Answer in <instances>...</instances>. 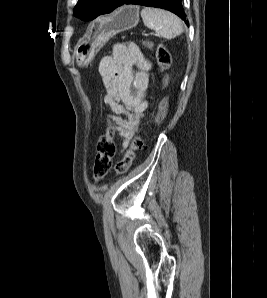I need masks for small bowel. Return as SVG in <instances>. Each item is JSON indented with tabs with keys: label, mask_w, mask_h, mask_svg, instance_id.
<instances>
[{
	"label": "small bowel",
	"mask_w": 267,
	"mask_h": 298,
	"mask_svg": "<svg viewBox=\"0 0 267 298\" xmlns=\"http://www.w3.org/2000/svg\"><path fill=\"white\" fill-rule=\"evenodd\" d=\"M134 67L138 68L136 73ZM151 69V62L134 44H116L112 53L99 63L104 86L101 101L111 109L105 116V125L116 131L124 146L136 133L147 109L145 97ZM164 109L165 103H162L157 120L162 118Z\"/></svg>",
	"instance_id": "1"
}]
</instances>
